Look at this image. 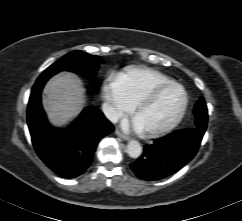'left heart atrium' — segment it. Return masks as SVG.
I'll use <instances>...</instances> for the list:
<instances>
[{"instance_id": "left-heart-atrium-1", "label": "left heart atrium", "mask_w": 242, "mask_h": 221, "mask_svg": "<svg viewBox=\"0 0 242 221\" xmlns=\"http://www.w3.org/2000/svg\"><path fill=\"white\" fill-rule=\"evenodd\" d=\"M123 127L125 129H134L135 131L141 132L143 131L141 125L139 124V122L133 118L132 120H124L122 123Z\"/></svg>"}]
</instances>
